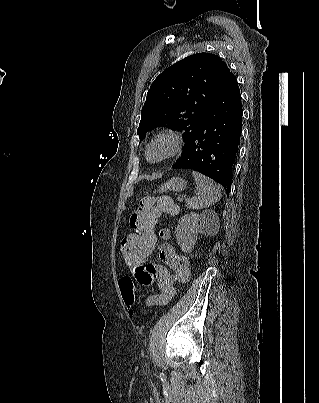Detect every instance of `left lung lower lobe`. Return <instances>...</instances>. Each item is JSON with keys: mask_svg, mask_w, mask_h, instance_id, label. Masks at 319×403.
<instances>
[{"mask_svg": "<svg viewBox=\"0 0 319 403\" xmlns=\"http://www.w3.org/2000/svg\"><path fill=\"white\" fill-rule=\"evenodd\" d=\"M242 115L239 86L231 72L172 168L201 172L220 183L229 194Z\"/></svg>", "mask_w": 319, "mask_h": 403, "instance_id": "left-lung-lower-lobe-1", "label": "left lung lower lobe"}]
</instances>
